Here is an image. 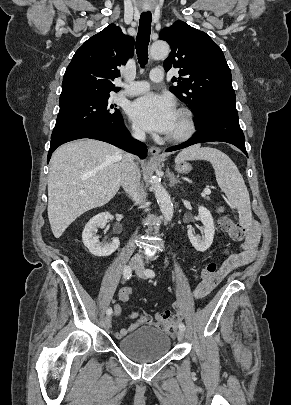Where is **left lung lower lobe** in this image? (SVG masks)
Masks as SVG:
<instances>
[{
	"label": "left lung lower lobe",
	"instance_id": "obj_1",
	"mask_svg": "<svg viewBox=\"0 0 291 405\" xmlns=\"http://www.w3.org/2000/svg\"><path fill=\"white\" fill-rule=\"evenodd\" d=\"M197 129L198 132L190 140L169 148L166 152L183 149L197 143L222 141L235 145L248 157L245 148V137L239 125L236 107L223 106L214 108L207 120Z\"/></svg>",
	"mask_w": 291,
	"mask_h": 405
}]
</instances>
